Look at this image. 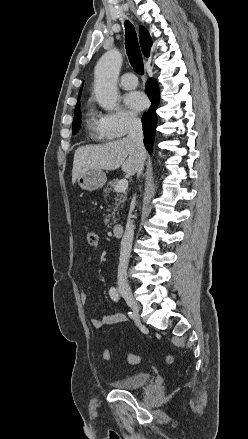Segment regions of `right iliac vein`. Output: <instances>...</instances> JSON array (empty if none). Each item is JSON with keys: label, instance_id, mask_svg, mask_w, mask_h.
I'll return each mask as SVG.
<instances>
[{"label": "right iliac vein", "instance_id": "1", "mask_svg": "<svg viewBox=\"0 0 248 439\" xmlns=\"http://www.w3.org/2000/svg\"><path fill=\"white\" fill-rule=\"evenodd\" d=\"M120 292H121V295L123 296V298L125 299V301L127 302V304L129 305V307L132 309L134 315L138 319L139 318V306H138L137 302L135 301L130 289L127 287H122Z\"/></svg>", "mask_w": 248, "mask_h": 439}]
</instances>
